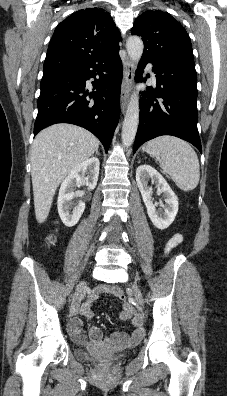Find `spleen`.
Instances as JSON below:
<instances>
[{"label": "spleen", "mask_w": 227, "mask_h": 396, "mask_svg": "<svg viewBox=\"0 0 227 396\" xmlns=\"http://www.w3.org/2000/svg\"><path fill=\"white\" fill-rule=\"evenodd\" d=\"M147 149L181 190L196 188L200 178L199 160L187 142L173 136H160L149 141Z\"/></svg>", "instance_id": "3e777b00"}]
</instances>
